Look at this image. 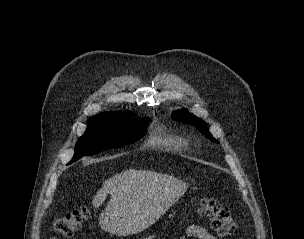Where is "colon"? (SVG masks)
<instances>
[{
  "label": "colon",
  "mask_w": 304,
  "mask_h": 239,
  "mask_svg": "<svg viewBox=\"0 0 304 239\" xmlns=\"http://www.w3.org/2000/svg\"><path fill=\"white\" fill-rule=\"evenodd\" d=\"M200 213L211 220L212 229L221 237L232 236L237 232V226L228 210L214 198L205 197L199 202ZM87 207H79L58 218L53 224V230L62 237L72 236L89 218Z\"/></svg>",
  "instance_id": "obj_1"
}]
</instances>
